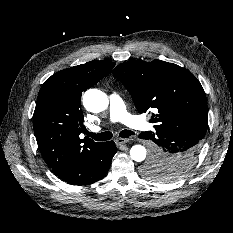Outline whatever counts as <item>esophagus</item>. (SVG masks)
<instances>
[{"mask_svg":"<svg viewBox=\"0 0 233 233\" xmlns=\"http://www.w3.org/2000/svg\"><path fill=\"white\" fill-rule=\"evenodd\" d=\"M129 141H130L129 138H117L115 140V143H116L117 146H121V145H123V144H125V143H127Z\"/></svg>","mask_w":233,"mask_h":233,"instance_id":"obj_1","label":"esophagus"}]
</instances>
